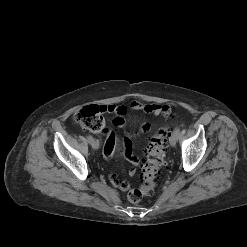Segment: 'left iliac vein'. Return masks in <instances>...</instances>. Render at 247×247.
<instances>
[{
  "label": "left iliac vein",
  "mask_w": 247,
  "mask_h": 247,
  "mask_svg": "<svg viewBox=\"0 0 247 247\" xmlns=\"http://www.w3.org/2000/svg\"><path fill=\"white\" fill-rule=\"evenodd\" d=\"M178 137H179V134H176L175 132H173L169 138V142H170V145L172 147H174L177 143V140H178Z\"/></svg>",
  "instance_id": "4c4485c4"
}]
</instances>
